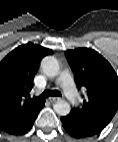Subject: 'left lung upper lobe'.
Masks as SVG:
<instances>
[{"label": "left lung upper lobe", "instance_id": "obj_1", "mask_svg": "<svg viewBox=\"0 0 118 142\" xmlns=\"http://www.w3.org/2000/svg\"><path fill=\"white\" fill-rule=\"evenodd\" d=\"M76 84L85 91L83 104L70 114L94 132H101L118 109V77L111 65L91 49L66 53Z\"/></svg>", "mask_w": 118, "mask_h": 142}]
</instances>
